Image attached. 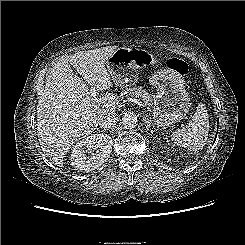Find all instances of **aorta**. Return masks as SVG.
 <instances>
[{"mask_svg":"<svg viewBox=\"0 0 245 245\" xmlns=\"http://www.w3.org/2000/svg\"><path fill=\"white\" fill-rule=\"evenodd\" d=\"M137 116L134 113H125L122 118V124L125 128L131 129L137 125Z\"/></svg>","mask_w":245,"mask_h":245,"instance_id":"1","label":"aorta"}]
</instances>
